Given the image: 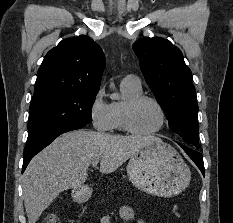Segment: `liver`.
<instances>
[{
  "mask_svg": "<svg viewBox=\"0 0 233 223\" xmlns=\"http://www.w3.org/2000/svg\"><path fill=\"white\" fill-rule=\"evenodd\" d=\"M155 135H110L101 131H68L31 159L22 175L23 201L28 223H36L61 191L81 187L89 165L100 161L101 173H112Z\"/></svg>",
  "mask_w": 233,
  "mask_h": 223,
  "instance_id": "obj_1",
  "label": "liver"
}]
</instances>
